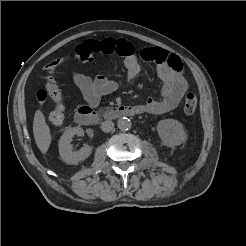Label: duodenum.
Wrapping results in <instances>:
<instances>
[{
    "instance_id": "duodenum-1",
    "label": "duodenum",
    "mask_w": 246,
    "mask_h": 246,
    "mask_svg": "<svg viewBox=\"0 0 246 246\" xmlns=\"http://www.w3.org/2000/svg\"><path fill=\"white\" fill-rule=\"evenodd\" d=\"M142 113L139 105H122L110 108L100 113L89 106H83L75 114V121L82 126L96 125L102 120L117 119L124 116H134Z\"/></svg>"
}]
</instances>
